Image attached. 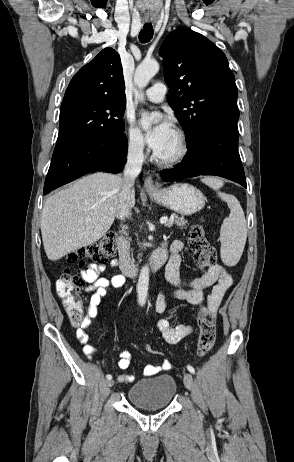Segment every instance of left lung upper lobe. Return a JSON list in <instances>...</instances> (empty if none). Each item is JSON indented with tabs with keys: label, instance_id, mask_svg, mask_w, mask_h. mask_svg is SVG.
Instances as JSON below:
<instances>
[{
	"label": "left lung upper lobe",
	"instance_id": "5c2ea615",
	"mask_svg": "<svg viewBox=\"0 0 294 462\" xmlns=\"http://www.w3.org/2000/svg\"><path fill=\"white\" fill-rule=\"evenodd\" d=\"M168 103L189 145L225 110L237 108L238 90L225 54L203 35L177 28L160 48Z\"/></svg>",
	"mask_w": 294,
	"mask_h": 462
}]
</instances>
